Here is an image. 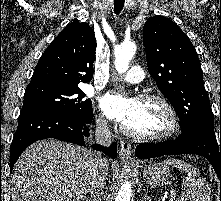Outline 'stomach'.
Returning <instances> with one entry per match:
<instances>
[{
	"label": "stomach",
	"mask_w": 221,
	"mask_h": 201,
	"mask_svg": "<svg viewBox=\"0 0 221 201\" xmlns=\"http://www.w3.org/2000/svg\"><path fill=\"white\" fill-rule=\"evenodd\" d=\"M145 182L152 187H162L170 183V168L164 163L148 165L143 172Z\"/></svg>",
	"instance_id": "0dacf381"
}]
</instances>
